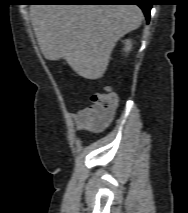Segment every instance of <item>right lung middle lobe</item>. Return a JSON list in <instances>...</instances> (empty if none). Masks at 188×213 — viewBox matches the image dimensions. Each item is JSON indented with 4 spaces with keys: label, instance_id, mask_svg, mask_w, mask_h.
Segmentation results:
<instances>
[{
    "label": "right lung middle lobe",
    "instance_id": "dd1d6c3e",
    "mask_svg": "<svg viewBox=\"0 0 188 213\" xmlns=\"http://www.w3.org/2000/svg\"><path fill=\"white\" fill-rule=\"evenodd\" d=\"M35 3H42L44 2L45 0H33Z\"/></svg>",
    "mask_w": 188,
    "mask_h": 213
}]
</instances>
